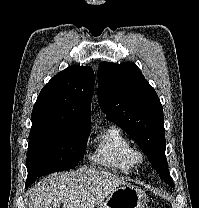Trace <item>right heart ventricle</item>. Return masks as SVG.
<instances>
[{
	"label": "right heart ventricle",
	"instance_id": "obj_1",
	"mask_svg": "<svg viewBox=\"0 0 199 208\" xmlns=\"http://www.w3.org/2000/svg\"><path fill=\"white\" fill-rule=\"evenodd\" d=\"M133 145L123 131L110 125L95 138V148L90 158L93 163L119 173H129L134 168L131 159Z\"/></svg>",
	"mask_w": 199,
	"mask_h": 208
}]
</instances>
